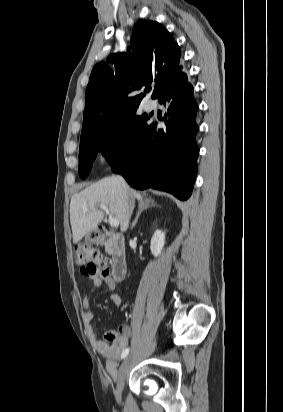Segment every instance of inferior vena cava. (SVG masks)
Segmentation results:
<instances>
[{
	"mask_svg": "<svg viewBox=\"0 0 283 412\" xmlns=\"http://www.w3.org/2000/svg\"><path fill=\"white\" fill-rule=\"evenodd\" d=\"M122 186L128 191V198H127V210L129 215L132 214V211L134 209V198L131 194V192L128 189V185L126 183V181L124 180V178L122 176H118Z\"/></svg>",
	"mask_w": 283,
	"mask_h": 412,
	"instance_id": "inferior-vena-cava-1",
	"label": "inferior vena cava"
}]
</instances>
